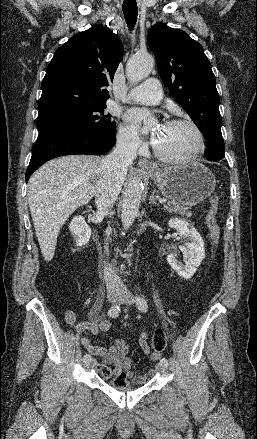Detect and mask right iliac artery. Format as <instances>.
<instances>
[{
    "instance_id": "obj_1",
    "label": "right iliac artery",
    "mask_w": 257,
    "mask_h": 439,
    "mask_svg": "<svg viewBox=\"0 0 257 439\" xmlns=\"http://www.w3.org/2000/svg\"><path fill=\"white\" fill-rule=\"evenodd\" d=\"M119 313H120V307H119L118 305H113V306L109 309V312H108L109 316L112 317V318L117 317V316L119 315ZM91 359H92V357H91L90 354H87V353H86V354L84 355V358H83L84 362H87V361H89V360H91Z\"/></svg>"
}]
</instances>
